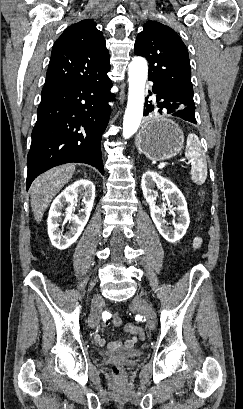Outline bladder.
Listing matches in <instances>:
<instances>
[{
    "mask_svg": "<svg viewBox=\"0 0 243 409\" xmlns=\"http://www.w3.org/2000/svg\"><path fill=\"white\" fill-rule=\"evenodd\" d=\"M100 354L104 356H115L121 359H132L140 356L141 350L137 348L120 349L115 351H102Z\"/></svg>",
    "mask_w": 243,
    "mask_h": 409,
    "instance_id": "31cf9c89",
    "label": "bladder"
}]
</instances>
